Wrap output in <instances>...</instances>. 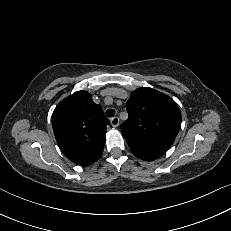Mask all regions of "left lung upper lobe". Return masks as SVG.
<instances>
[{"label":"left lung upper lobe","mask_w":231,"mask_h":231,"mask_svg":"<svg viewBox=\"0 0 231 231\" xmlns=\"http://www.w3.org/2000/svg\"><path fill=\"white\" fill-rule=\"evenodd\" d=\"M126 108L129 117L120 128L132 153L147 161L162 156L173 144L181 125V112L175 101L142 87L131 93Z\"/></svg>","instance_id":"5c2ea615"}]
</instances>
